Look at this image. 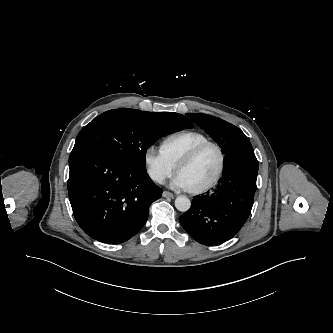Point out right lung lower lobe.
Listing matches in <instances>:
<instances>
[{
  "instance_id": "right-lung-lower-lobe-1",
  "label": "right lung lower lobe",
  "mask_w": 333,
  "mask_h": 333,
  "mask_svg": "<svg viewBox=\"0 0 333 333\" xmlns=\"http://www.w3.org/2000/svg\"><path fill=\"white\" fill-rule=\"evenodd\" d=\"M69 166L74 217L100 242L119 244L133 237L146 223L151 203L162 194L146 170L131 168L91 146L73 148Z\"/></svg>"
}]
</instances>
